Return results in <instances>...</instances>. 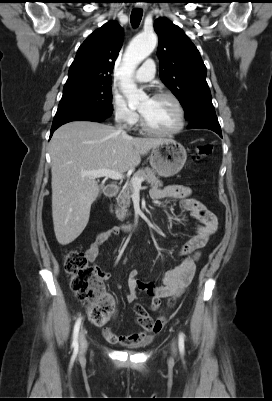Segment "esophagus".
<instances>
[{
    "label": "esophagus",
    "instance_id": "obj_1",
    "mask_svg": "<svg viewBox=\"0 0 272 401\" xmlns=\"http://www.w3.org/2000/svg\"><path fill=\"white\" fill-rule=\"evenodd\" d=\"M137 6H138V7H144V6H143L142 4H140V3H139V4H137Z\"/></svg>",
    "mask_w": 272,
    "mask_h": 401
}]
</instances>
